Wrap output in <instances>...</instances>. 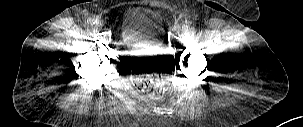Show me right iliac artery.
Returning <instances> with one entry per match:
<instances>
[{
	"label": "right iliac artery",
	"mask_w": 303,
	"mask_h": 127,
	"mask_svg": "<svg viewBox=\"0 0 303 127\" xmlns=\"http://www.w3.org/2000/svg\"><path fill=\"white\" fill-rule=\"evenodd\" d=\"M95 22H96V20L93 19V18H89V19L87 20V23L90 24V25L95 24Z\"/></svg>",
	"instance_id": "right-iliac-artery-1"
}]
</instances>
